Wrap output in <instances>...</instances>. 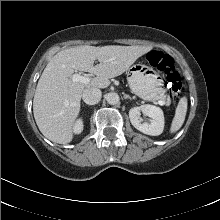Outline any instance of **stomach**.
Listing matches in <instances>:
<instances>
[{
    "instance_id": "obj_1",
    "label": "stomach",
    "mask_w": 220,
    "mask_h": 220,
    "mask_svg": "<svg viewBox=\"0 0 220 220\" xmlns=\"http://www.w3.org/2000/svg\"><path fill=\"white\" fill-rule=\"evenodd\" d=\"M127 81L131 91L147 101L162 99L165 82L156 70L144 64H135L128 70Z\"/></svg>"
}]
</instances>
